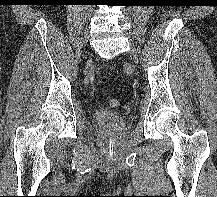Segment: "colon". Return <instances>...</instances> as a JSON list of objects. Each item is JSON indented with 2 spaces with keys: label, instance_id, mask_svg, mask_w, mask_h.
Returning <instances> with one entry per match:
<instances>
[{
  "label": "colon",
  "instance_id": "obj_1",
  "mask_svg": "<svg viewBox=\"0 0 217 197\" xmlns=\"http://www.w3.org/2000/svg\"><path fill=\"white\" fill-rule=\"evenodd\" d=\"M109 105L113 108H116L120 105V101L118 99H115V98L110 99Z\"/></svg>",
  "mask_w": 217,
  "mask_h": 197
}]
</instances>
